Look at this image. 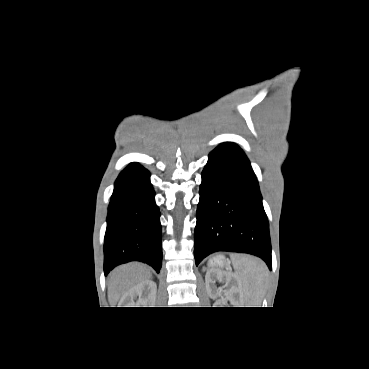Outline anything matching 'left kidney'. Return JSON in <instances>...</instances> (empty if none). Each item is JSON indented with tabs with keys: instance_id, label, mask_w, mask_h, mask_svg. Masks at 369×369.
Segmentation results:
<instances>
[{
	"instance_id": "left-kidney-1",
	"label": "left kidney",
	"mask_w": 369,
	"mask_h": 369,
	"mask_svg": "<svg viewBox=\"0 0 369 369\" xmlns=\"http://www.w3.org/2000/svg\"><path fill=\"white\" fill-rule=\"evenodd\" d=\"M217 278L220 281H225V286L227 289L225 290V297L232 301L236 307H242L243 304V294L241 293V289L238 283V280L234 274L229 272H223L218 269H209L205 276L206 283V291L210 298H216L218 296V292L214 291L212 288V284L214 283V279Z\"/></svg>"
}]
</instances>
